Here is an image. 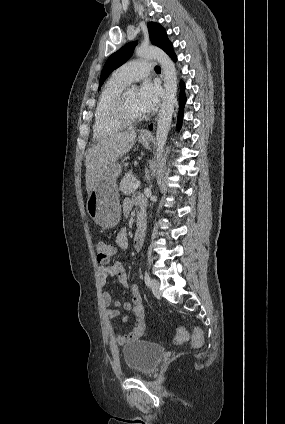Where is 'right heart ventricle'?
Returning a JSON list of instances; mask_svg holds the SVG:
<instances>
[{
	"mask_svg": "<svg viewBox=\"0 0 285 424\" xmlns=\"http://www.w3.org/2000/svg\"><path fill=\"white\" fill-rule=\"evenodd\" d=\"M127 84L112 76L105 84L97 101L93 133L96 139H103L120 132L124 126L111 117V109Z\"/></svg>",
	"mask_w": 285,
	"mask_h": 424,
	"instance_id": "right-heart-ventricle-1",
	"label": "right heart ventricle"
}]
</instances>
